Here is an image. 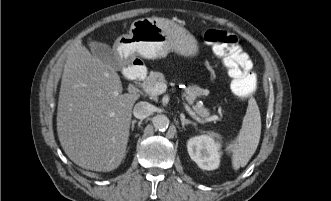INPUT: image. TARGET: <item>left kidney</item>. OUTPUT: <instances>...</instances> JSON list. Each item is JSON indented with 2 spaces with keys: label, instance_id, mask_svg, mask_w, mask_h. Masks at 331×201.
I'll return each mask as SVG.
<instances>
[{
  "label": "left kidney",
  "instance_id": "left-kidney-1",
  "mask_svg": "<svg viewBox=\"0 0 331 201\" xmlns=\"http://www.w3.org/2000/svg\"><path fill=\"white\" fill-rule=\"evenodd\" d=\"M217 134L201 135L191 138L187 144L188 153L193 161L204 170H214L220 164V144L214 140Z\"/></svg>",
  "mask_w": 331,
  "mask_h": 201
}]
</instances>
